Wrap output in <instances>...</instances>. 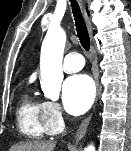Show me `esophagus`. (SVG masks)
<instances>
[{"instance_id":"1","label":"esophagus","mask_w":131,"mask_h":151,"mask_svg":"<svg viewBox=\"0 0 131 151\" xmlns=\"http://www.w3.org/2000/svg\"><path fill=\"white\" fill-rule=\"evenodd\" d=\"M87 24H88V29H89L90 35L92 37V25L88 19H87ZM92 51H94V46H92ZM93 76H94V80L96 83V89H97V95H98V92H99V72H98V66H97L96 59H94V62H93ZM91 116H92V114H90L79 126V128L75 134V137H74V142L77 143L84 137V135L87 131L88 125L90 123Z\"/></svg>"}]
</instances>
